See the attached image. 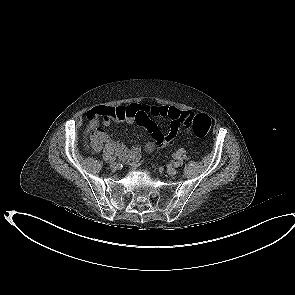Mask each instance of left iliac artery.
Masks as SVG:
<instances>
[{
  "instance_id": "obj_1",
  "label": "left iliac artery",
  "mask_w": 295,
  "mask_h": 295,
  "mask_svg": "<svg viewBox=\"0 0 295 295\" xmlns=\"http://www.w3.org/2000/svg\"><path fill=\"white\" fill-rule=\"evenodd\" d=\"M173 165H174V167H178L179 166V163L178 162H174Z\"/></svg>"
}]
</instances>
